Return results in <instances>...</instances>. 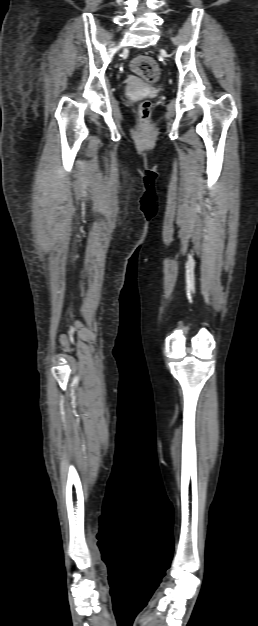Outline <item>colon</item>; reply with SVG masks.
<instances>
[{"instance_id": "5ec220e1", "label": "colon", "mask_w": 258, "mask_h": 626, "mask_svg": "<svg viewBox=\"0 0 258 626\" xmlns=\"http://www.w3.org/2000/svg\"><path fill=\"white\" fill-rule=\"evenodd\" d=\"M131 68L136 75L149 83L156 82L160 75L156 61L150 56L140 55L136 57L132 61ZM139 110L142 127H146L150 118L151 103L148 100L143 101Z\"/></svg>"}]
</instances>
